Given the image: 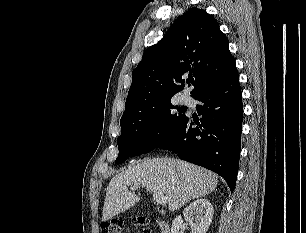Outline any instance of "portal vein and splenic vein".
<instances>
[{
    "mask_svg": "<svg viewBox=\"0 0 306 233\" xmlns=\"http://www.w3.org/2000/svg\"><path fill=\"white\" fill-rule=\"evenodd\" d=\"M137 188H138L137 186L130 187L131 190H136ZM153 198L160 205H165L168 202L167 198L161 193L155 192L153 194Z\"/></svg>",
    "mask_w": 306,
    "mask_h": 233,
    "instance_id": "18ae733b",
    "label": "portal vein and splenic vein"
}]
</instances>
